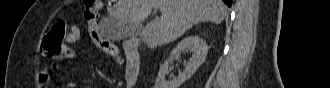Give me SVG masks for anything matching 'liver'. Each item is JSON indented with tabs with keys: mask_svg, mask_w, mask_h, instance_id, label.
I'll use <instances>...</instances> for the list:
<instances>
[{
	"mask_svg": "<svg viewBox=\"0 0 330 88\" xmlns=\"http://www.w3.org/2000/svg\"><path fill=\"white\" fill-rule=\"evenodd\" d=\"M154 7L160 8L161 18L147 23L139 32L142 41L151 49L176 40L196 23L219 24L227 15L221 0H117L109 10L110 19L105 22L139 24Z\"/></svg>",
	"mask_w": 330,
	"mask_h": 88,
	"instance_id": "6515ba94",
	"label": "liver"
}]
</instances>
